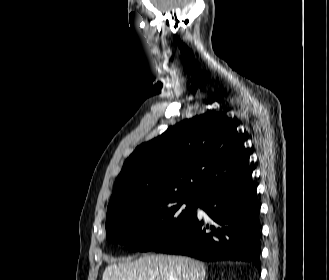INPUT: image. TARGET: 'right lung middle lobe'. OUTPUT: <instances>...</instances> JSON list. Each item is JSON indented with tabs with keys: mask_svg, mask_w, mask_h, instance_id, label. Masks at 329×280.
<instances>
[{
	"mask_svg": "<svg viewBox=\"0 0 329 280\" xmlns=\"http://www.w3.org/2000/svg\"><path fill=\"white\" fill-rule=\"evenodd\" d=\"M198 200L197 197L147 196L108 208L106 238L125 245L130 251H154L185 227L195 214Z\"/></svg>",
	"mask_w": 329,
	"mask_h": 280,
	"instance_id": "dd1d6c3e",
	"label": "right lung middle lobe"
}]
</instances>
